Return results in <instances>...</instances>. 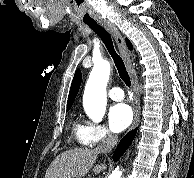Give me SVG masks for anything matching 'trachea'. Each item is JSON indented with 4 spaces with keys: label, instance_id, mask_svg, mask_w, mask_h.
I'll return each instance as SVG.
<instances>
[{
    "label": "trachea",
    "instance_id": "trachea-1",
    "mask_svg": "<svg viewBox=\"0 0 194 178\" xmlns=\"http://www.w3.org/2000/svg\"><path fill=\"white\" fill-rule=\"evenodd\" d=\"M103 41L105 44L108 52L110 53L111 57L113 58L114 64L117 68L118 74L122 81L126 84V86H131V81L129 74L126 70L125 64L122 60V58L117 54V52L114 49L113 41L111 39V36L109 33L99 24L97 23H88L87 24Z\"/></svg>",
    "mask_w": 194,
    "mask_h": 178
}]
</instances>
